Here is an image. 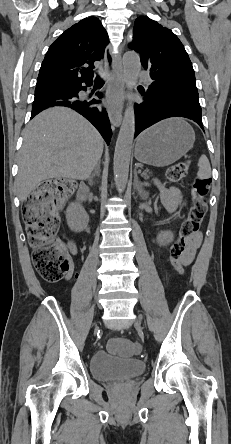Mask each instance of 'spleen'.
I'll list each match as a JSON object with an SVG mask.
<instances>
[{
  "instance_id": "1",
  "label": "spleen",
  "mask_w": 231,
  "mask_h": 444,
  "mask_svg": "<svg viewBox=\"0 0 231 444\" xmlns=\"http://www.w3.org/2000/svg\"><path fill=\"white\" fill-rule=\"evenodd\" d=\"M198 173L197 177L199 179H208L211 176V167L208 158L202 155L198 161Z\"/></svg>"
}]
</instances>
